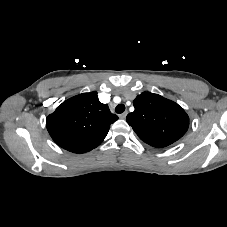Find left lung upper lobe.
Returning a JSON list of instances; mask_svg holds the SVG:
<instances>
[{
  "mask_svg": "<svg viewBox=\"0 0 227 227\" xmlns=\"http://www.w3.org/2000/svg\"><path fill=\"white\" fill-rule=\"evenodd\" d=\"M133 104L135 110L127 115L126 121L142 141L153 147H166L188 130V115L171 100L143 92Z\"/></svg>",
  "mask_w": 227,
  "mask_h": 227,
  "instance_id": "1",
  "label": "left lung upper lobe"
}]
</instances>
